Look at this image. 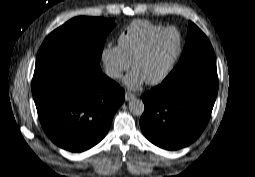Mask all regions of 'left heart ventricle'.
I'll return each mask as SVG.
<instances>
[{
    "mask_svg": "<svg viewBox=\"0 0 255 177\" xmlns=\"http://www.w3.org/2000/svg\"><path fill=\"white\" fill-rule=\"evenodd\" d=\"M178 45V36L174 31L163 33L154 41L148 53L134 64L133 70L138 71L146 81L155 79L167 67Z\"/></svg>",
    "mask_w": 255,
    "mask_h": 177,
    "instance_id": "b2bd125f",
    "label": "left heart ventricle"
}]
</instances>
